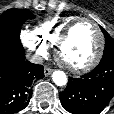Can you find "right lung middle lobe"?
<instances>
[{
  "label": "right lung middle lobe",
  "instance_id": "obj_1",
  "mask_svg": "<svg viewBox=\"0 0 114 114\" xmlns=\"http://www.w3.org/2000/svg\"><path fill=\"white\" fill-rule=\"evenodd\" d=\"M33 18L34 15L25 9H9L0 15V47L22 50L21 26Z\"/></svg>",
  "mask_w": 114,
  "mask_h": 114
}]
</instances>
